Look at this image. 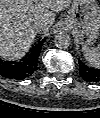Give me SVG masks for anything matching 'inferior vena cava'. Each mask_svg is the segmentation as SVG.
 <instances>
[{
  "mask_svg": "<svg viewBox=\"0 0 100 118\" xmlns=\"http://www.w3.org/2000/svg\"><path fill=\"white\" fill-rule=\"evenodd\" d=\"M34 28L37 33H42L48 29V26L45 24H36Z\"/></svg>",
  "mask_w": 100,
  "mask_h": 118,
  "instance_id": "obj_1",
  "label": "inferior vena cava"
}]
</instances>
